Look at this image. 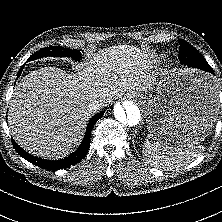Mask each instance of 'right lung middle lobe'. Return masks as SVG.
Segmentation results:
<instances>
[{"label": "right lung middle lobe", "instance_id": "1", "mask_svg": "<svg viewBox=\"0 0 222 222\" xmlns=\"http://www.w3.org/2000/svg\"><path fill=\"white\" fill-rule=\"evenodd\" d=\"M47 56H56V57L66 56L73 58L74 60H79L81 58V53L79 50H71L68 48H63L61 46L60 47L51 46L48 48H43L38 52L34 53L28 60L32 61Z\"/></svg>", "mask_w": 222, "mask_h": 222}]
</instances>
